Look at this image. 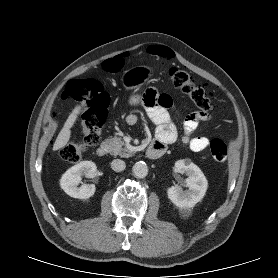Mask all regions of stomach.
Wrapping results in <instances>:
<instances>
[{
    "label": "stomach",
    "mask_w": 278,
    "mask_h": 278,
    "mask_svg": "<svg viewBox=\"0 0 278 278\" xmlns=\"http://www.w3.org/2000/svg\"><path fill=\"white\" fill-rule=\"evenodd\" d=\"M153 70L149 66L138 65L126 70L122 76V83L126 89H137L149 80Z\"/></svg>",
    "instance_id": "0dacf381"
}]
</instances>
